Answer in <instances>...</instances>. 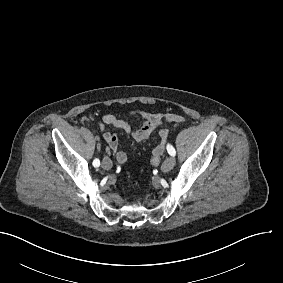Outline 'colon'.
I'll return each instance as SVG.
<instances>
[{
  "label": "colon",
  "instance_id": "obj_1",
  "mask_svg": "<svg viewBox=\"0 0 283 283\" xmlns=\"http://www.w3.org/2000/svg\"><path fill=\"white\" fill-rule=\"evenodd\" d=\"M167 141V132L165 130H160L158 132L156 145L150 156V167L152 172L157 171V167L161 161L162 156L164 155V145Z\"/></svg>",
  "mask_w": 283,
  "mask_h": 283
}]
</instances>
